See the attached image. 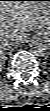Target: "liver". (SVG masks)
I'll return each mask as SVG.
<instances>
[{
    "label": "liver",
    "mask_w": 50,
    "mask_h": 111,
    "mask_svg": "<svg viewBox=\"0 0 50 111\" xmlns=\"http://www.w3.org/2000/svg\"><path fill=\"white\" fill-rule=\"evenodd\" d=\"M49 20L48 3L31 1H6L1 3V58L4 45L11 38L26 42L29 31Z\"/></svg>",
    "instance_id": "1"
}]
</instances>
